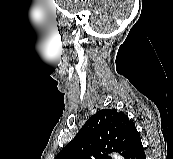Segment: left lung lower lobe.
Listing matches in <instances>:
<instances>
[{
    "label": "left lung lower lobe",
    "instance_id": "0a47b994",
    "mask_svg": "<svg viewBox=\"0 0 173 159\" xmlns=\"http://www.w3.org/2000/svg\"><path fill=\"white\" fill-rule=\"evenodd\" d=\"M127 159H146L142 143H139L128 155Z\"/></svg>",
    "mask_w": 173,
    "mask_h": 159
}]
</instances>
